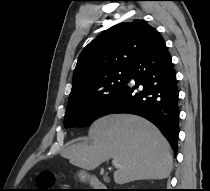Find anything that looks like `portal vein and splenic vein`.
I'll return each mask as SVG.
<instances>
[{
  "instance_id": "1",
  "label": "portal vein and splenic vein",
  "mask_w": 210,
  "mask_h": 191,
  "mask_svg": "<svg viewBox=\"0 0 210 191\" xmlns=\"http://www.w3.org/2000/svg\"><path fill=\"white\" fill-rule=\"evenodd\" d=\"M112 165L115 166V167H119V166H120V164H119L117 158H114V159L112 160Z\"/></svg>"
}]
</instances>
